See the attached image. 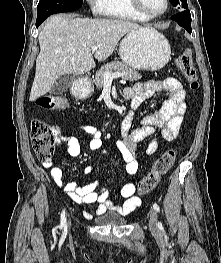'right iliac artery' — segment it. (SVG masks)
Wrapping results in <instances>:
<instances>
[{"label":"right iliac artery","instance_id":"right-iliac-artery-1","mask_svg":"<svg viewBox=\"0 0 221 263\" xmlns=\"http://www.w3.org/2000/svg\"><path fill=\"white\" fill-rule=\"evenodd\" d=\"M65 227H67V222H66L65 210H63L61 214L60 228H65Z\"/></svg>","mask_w":221,"mask_h":263}]
</instances>
